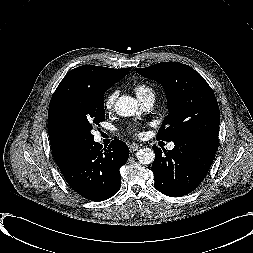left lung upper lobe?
<instances>
[{"instance_id": "1", "label": "left lung upper lobe", "mask_w": 253, "mask_h": 253, "mask_svg": "<svg viewBox=\"0 0 253 253\" xmlns=\"http://www.w3.org/2000/svg\"><path fill=\"white\" fill-rule=\"evenodd\" d=\"M135 70L161 83L166 91L169 114L156 139L173 142L196 137L218 139V103L213 90L198 72L179 62H162Z\"/></svg>"}]
</instances>
